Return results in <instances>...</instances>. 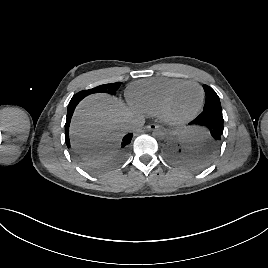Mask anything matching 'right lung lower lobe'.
I'll return each instance as SVG.
<instances>
[{
	"label": "right lung lower lobe",
	"instance_id": "obj_1",
	"mask_svg": "<svg viewBox=\"0 0 268 268\" xmlns=\"http://www.w3.org/2000/svg\"><path fill=\"white\" fill-rule=\"evenodd\" d=\"M81 98H73L69 102L68 109H67V119L65 124V143L70 148V140H69V125L71 121V117L73 115L74 109L76 105L81 101ZM133 137L132 133H129L124 136L123 140L121 141L120 148H119V157L118 160H121L127 153L128 146L131 142ZM94 171H99V168H93Z\"/></svg>",
	"mask_w": 268,
	"mask_h": 268
}]
</instances>
